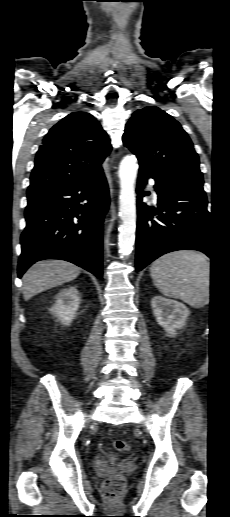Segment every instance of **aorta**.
<instances>
[{
	"instance_id": "obj_1",
	"label": "aorta",
	"mask_w": 230,
	"mask_h": 517,
	"mask_svg": "<svg viewBox=\"0 0 230 517\" xmlns=\"http://www.w3.org/2000/svg\"><path fill=\"white\" fill-rule=\"evenodd\" d=\"M138 171L136 157L125 156L119 166L120 195L119 215L121 224L119 226L118 247L121 258L129 255L133 250L136 231V197L135 181Z\"/></svg>"
}]
</instances>
